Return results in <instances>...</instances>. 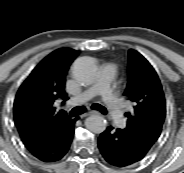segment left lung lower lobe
<instances>
[{
    "instance_id": "1",
    "label": "left lung lower lobe",
    "mask_w": 184,
    "mask_h": 173,
    "mask_svg": "<svg viewBox=\"0 0 184 173\" xmlns=\"http://www.w3.org/2000/svg\"><path fill=\"white\" fill-rule=\"evenodd\" d=\"M98 146L107 161L119 166L141 160L150 149L124 129L112 127L100 135Z\"/></svg>"
}]
</instances>
